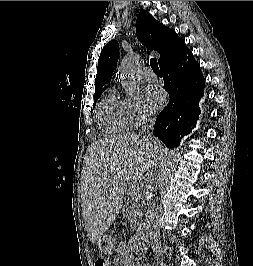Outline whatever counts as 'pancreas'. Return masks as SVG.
Returning a JSON list of instances; mask_svg holds the SVG:
<instances>
[{
    "instance_id": "cf45deb5",
    "label": "pancreas",
    "mask_w": 253,
    "mask_h": 266,
    "mask_svg": "<svg viewBox=\"0 0 253 266\" xmlns=\"http://www.w3.org/2000/svg\"><path fill=\"white\" fill-rule=\"evenodd\" d=\"M139 200L140 195L138 192L136 194H134L133 192L129 193L128 201L126 204V214L128 215L129 221L133 226L137 224L138 219L141 215L139 211Z\"/></svg>"
}]
</instances>
